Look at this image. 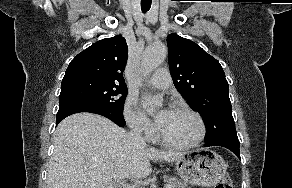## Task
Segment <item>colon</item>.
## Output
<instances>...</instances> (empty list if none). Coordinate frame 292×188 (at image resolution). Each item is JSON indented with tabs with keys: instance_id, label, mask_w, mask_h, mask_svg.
<instances>
[{
	"instance_id": "5ec220e1",
	"label": "colon",
	"mask_w": 292,
	"mask_h": 188,
	"mask_svg": "<svg viewBox=\"0 0 292 188\" xmlns=\"http://www.w3.org/2000/svg\"><path fill=\"white\" fill-rule=\"evenodd\" d=\"M214 188H232V182L229 177H226L217 183Z\"/></svg>"
}]
</instances>
